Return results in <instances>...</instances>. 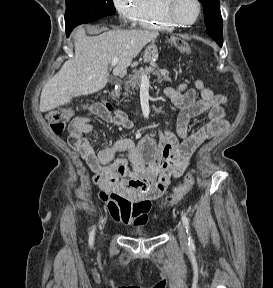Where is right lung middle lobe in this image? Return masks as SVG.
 <instances>
[{
	"instance_id": "dd1d6c3e",
	"label": "right lung middle lobe",
	"mask_w": 273,
	"mask_h": 288,
	"mask_svg": "<svg viewBox=\"0 0 273 288\" xmlns=\"http://www.w3.org/2000/svg\"><path fill=\"white\" fill-rule=\"evenodd\" d=\"M114 13L113 0H66V31L70 33L79 24L90 23Z\"/></svg>"
}]
</instances>
